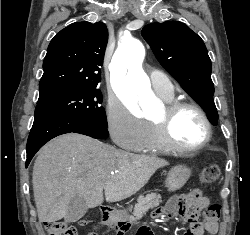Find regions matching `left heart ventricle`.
Listing matches in <instances>:
<instances>
[{"mask_svg": "<svg viewBox=\"0 0 250 235\" xmlns=\"http://www.w3.org/2000/svg\"><path fill=\"white\" fill-rule=\"evenodd\" d=\"M164 109L156 115L153 120L162 117ZM172 136L182 146H195L205 136V126L200 115L192 109H185L179 112L172 123Z\"/></svg>", "mask_w": 250, "mask_h": 235, "instance_id": "1", "label": "left heart ventricle"}]
</instances>
